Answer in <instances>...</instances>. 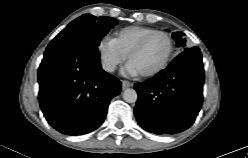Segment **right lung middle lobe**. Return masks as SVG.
I'll return each mask as SVG.
<instances>
[{"mask_svg":"<svg viewBox=\"0 0 248 158\" xmlns=\"http://www.w3.org/2000/svg\"><path fill=\"white\" fill-rule=\"evenodd\" d=\"M116 24V19L112 17L102 16L97 19L93 15L84 14L68 24L51 42L61 41L98 47L101 38Z\"/></svg>","mask_w":248,"mask_h":158,"instance_id":"right-lung-middle-lobe-1","label":"right lung middle lobe"}]
</instances>
